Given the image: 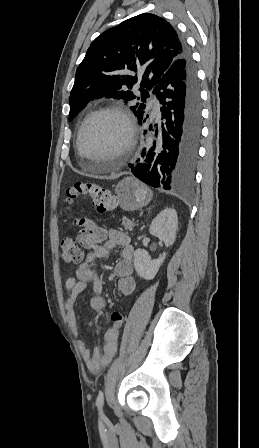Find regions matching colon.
Here are the masks:
<instances>
[{
  "instance_id": "1",
  "label": "colon",
  "mask_w": 259,
  "mask_h": 448,
  "mask_svg": "<svg viewBox=\"0 0 259 448\" xmlns=\"http://www.w3.org/2000/svg\"><path fill=\"white\" fill-rule=\"evenodd\" d=\"M78 197H87L93 201L99 212L115 210L118 207L117 197L107 188L91 180H80L66 191V202L71 203ZM74 223L79 227L75 238H66L61 242L62 259L66 263H79L84 255L83 248L98 244L103 240L105 232L92 219L77 218ZM111 326L121 328L124 315L114 311L110 315Z\"/></svg>"
}]
</instances>
